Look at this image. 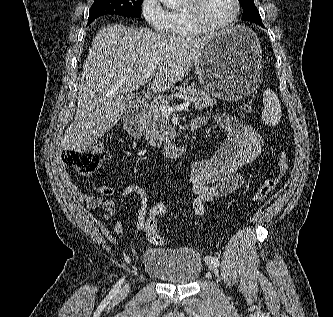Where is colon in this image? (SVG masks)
Instances as JSON below:
<instances>
[{
    "label": "colon",
    "mask_w": 333,
    "mask_h": 317,
    "mask_svg": "<svg viewBox=\"0 0 333 317\" xmlns=\"http://www.w3.org/2000/svg\"><path fill=\"white\" fill-rule=\"evenodd\" d=\"M244 113H252V107L244 104L241 106ZM105 154L102 145L98 142L90 144L84 148L76 150H67L63 154L65 165L74 169L77 173L87 176L96 172L103 160ZM289 164L287 156L284 152L279 155L277 162L276 175L267 178L255 191L253 200L255 202L263 201L277 187L280 178L288 171ZM169 215L167 206L163 203H156L149 206L145 216V233L153 244L164 245L165 239L159 233V224Z\"/></svg>",
    "instance_id": "obj_1"
}]
</instances>
